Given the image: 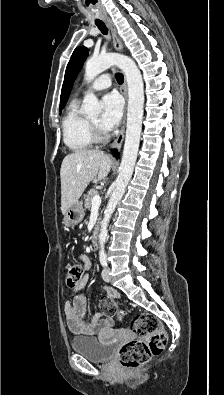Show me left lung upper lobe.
<instances>
[{
	"label": "left lung upper lobe",
	"mask_w": 224,
	"mask_h": 395,
	"mask_svg": "<svg viewBox=\"0 0 224 395\" xmlns=\"http://www.w3.org/2000/svg\"><path fill=\"white\" fill-rule=\"evenodd\" d=\"M88 52L89 51L87 48H85L84 46H80L74 50L71 56V59L66 68L64 83L62 87L61 107H64L68 100L75 77L79 72L80 68L82 67L86 57L88 56Z\"/></svg>",
	"instance_id": "5c2ea615"
}]
</instances>
